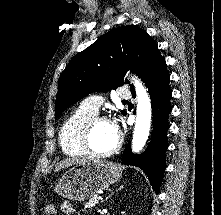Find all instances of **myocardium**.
Segmentation results:
<instances>
[{
	"mask_svg": "<svg viewBox=\"0 0 221 215\" xmlns=\"http://www.w3.org/2000/svg\"><path fill=\"white\" fill-rule=\"evenodd\" d=\"M98 122H110V121L105 116L94 115L93 117H91L87 121V123L85 124V127L83 129L82 146H83L84 150L86 151V153L91 156L98 157V158L108 157V156H111V155L115 154L116 152H118V150L121 148L122 136L120 134H118L117 142L111 149H109L107 151H103V152H99V151L95 150L92 146V143H91V136H92V132L94 130V127Z\"/></svg>",
	"mask_w": 221,
	"mask_h": 215,
	"instance_id": "obj_1",
	"label": "myocardium"
}]
</instances>
